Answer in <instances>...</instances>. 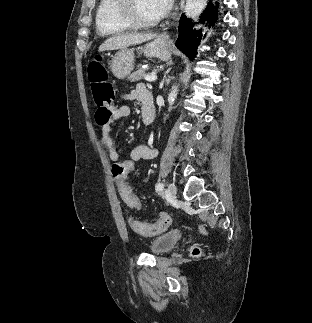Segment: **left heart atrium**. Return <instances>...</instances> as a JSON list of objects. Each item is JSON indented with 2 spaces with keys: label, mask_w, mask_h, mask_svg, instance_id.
I'll use <instances>...</instances> for the list:
<instances>
[{
  "label": "left heart atrium",
  "mask_w": 312,
  "mask_h": 323,
  "mask_svg": "<svg viewBox=\"0 0 312 323\" xmlns=\"http://www.w3.org/2000/svg\"><path fill=\"white\" fill-rule=\"evenodd\" d=\"M157 3L153 6L154 12H171L175 7V0H157Z\"/></svg>",
  "instance_id": "39dd6f15"
}]
</instances>
